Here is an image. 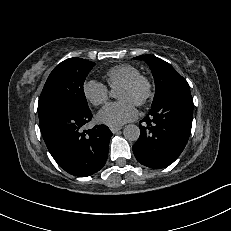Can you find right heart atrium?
Instances as JSON below:
<instances>
[{
  "mask_svg": "<svg viewBox=\"0 0 231 231\" xmlns=\"http://www.w3.org/2000/svg\"><path fill=\"white\" fill-rule=\"evenodd\" d=\"M82 92L85 99L94 106L105 104L109 97L107 86L97 80H86Z\"/></svg>",
  "mask_w": 231,
  "mask_h": 231,
  "instance_id": "1",
  "label": "right heart atrium"
}]
</instances>
